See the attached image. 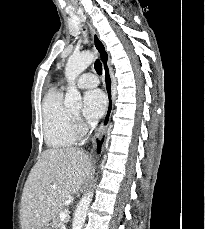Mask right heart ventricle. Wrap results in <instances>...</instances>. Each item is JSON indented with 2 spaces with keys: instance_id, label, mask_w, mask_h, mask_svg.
Returning a JSON list of instances; mask_svg holds the SVG:
<instances>
[{
  "instance_id": "right-heart-ventricle-1",
  "label": "right heart ventricle",
  "mask_w": 205,
  "mask_h": 229,
  "mask_svg": "<svg viewBox=\"0 0 205 229\" xmlns=\"http://www.w3.org/2000/svg\"><path fill=\"white\" fill-rule=\"evenodd\" d=\"M43 135L48 147L61 149L73 145L77 140L75 120L63 104V92L51 90L42 103Z\"/></svg>"
}]
</instances>
